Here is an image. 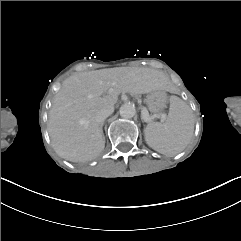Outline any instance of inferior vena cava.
Listing matches in <instances>:
<instances>
[{
	"mask_svg": "<svg viewBox=\"0 0 241 241\" xmlns=\"http://www.w3.org/2000/svg\"><path fill=\"white\" fill-rule=\"evenodd\" d=\"M113 112H114V107L103 109L96 115L95 117L96 123L102 124L105 121V119H107Z\"/></svg>",
	"mask_w": 241,
	"mask_h": 241,
	"instance_id": "inferior-vena-cava-1",
	"label": "inferior vena cava"
}]
</instances>
